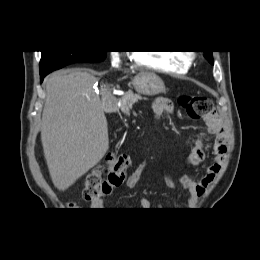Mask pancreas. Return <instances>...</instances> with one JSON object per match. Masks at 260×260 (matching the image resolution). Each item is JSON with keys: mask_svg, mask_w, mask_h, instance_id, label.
<instances>
[{"mask_svg": "<svg viewBox=\"0 0 260 260\" xmlns=\"http://www.w3.org/2000/svg\"><path fill=\"white\" fill-rule=\"evenodd\" d=\"M139 100H142L141 95L139 94H134L133 92H128L126 95H124L120 99V109L122 113L125 115L129 116L130 115V110L132 109L133 105L137 103Z\"/></svg>", "mask_w": 260, "mask_h": 260, "instance_id": "pancreas-1", "label": "pancreas"}]
</instances>
